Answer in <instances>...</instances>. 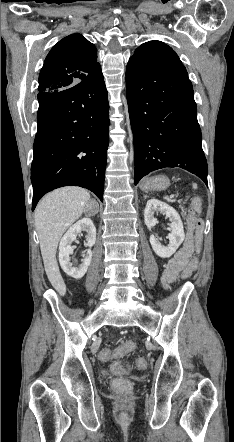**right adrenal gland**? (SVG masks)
Masks as SVG:
<instances>
[{
    "label": "right adrenal gland",
    "mask_w": 234,
    "mask_h": 442,
    "mask_svg": "<svg viewBox=\"0 0 234 442\" xmlns=\"http://www.w3.org/2000/svg\"><path fill=\"white\" fill-rule=\"evenodd\" d=\"M91 203H95V204H96V208H97V212H98V210H99V206H98V204H97L94 200H91V201H90V204H91Z\"/></svg>",
    "instance_id": "1"
}]
</instances>
